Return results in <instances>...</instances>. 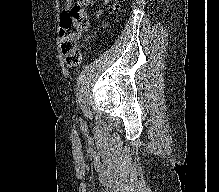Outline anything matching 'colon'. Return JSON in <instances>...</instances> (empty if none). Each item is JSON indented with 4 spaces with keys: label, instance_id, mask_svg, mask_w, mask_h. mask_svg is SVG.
Masks as SVG:
<instances>
[{
    "label": "colon",
    "instance_id": "5ec220e1",
    "mask_svg": "<svg viewBox=\"0 0 219 192\" xmlns=\"http://www.w3.org/2000/svg\"><path fill=\"white\" fill-rule=\"evenodd\" d=\"M118 9V4L109 8L110 12ZM89 27V19L86 11L79 5L72 6L60 16L59 36L61 49L69 67H75L80 62L79 41Z\"/></svg>",
    "mask_w": 219,
    "mask_h": 192
}]
</instances>
